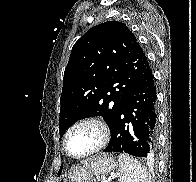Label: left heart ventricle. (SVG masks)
<instances>
[{
  "mask_svg": "<svg viewBox=\"0 0 196 182\" xmlns=\"http://www.w3.org/2000/svg\"><path fill=\"white\" fill-rule=\"evenodd\" d=\"M97 140V131L91 126H83L72 132L68 139V148L72 154L82 155L92 149Z\"/></svg>",
  "mask_w": 196,
  "mask_h": 182,
  "instance_id": "b2bd125f",
  "label": "left heart ventricle"
}]
</instances>
